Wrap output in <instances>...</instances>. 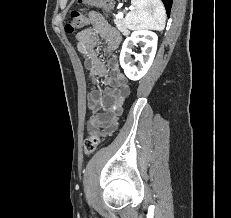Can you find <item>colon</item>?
Returning a JSON list of instances; mask_svg holds the SVG:
<instances>
[{
  "instance_id": "5ec220e1",
  "label": "colon",
  "mask_w": 231,
  "mask_h": 218,
  "mask_svg": "<svg viewBox=\"0 0 231 218\" xmlns=\"http://www.w3.org/2000/svg\"><path fill=\"white\" fill-rule=\"evenodd\" d=\"M80 4L101 7L105 10L110 9V0H78ZM86 23V18L80 11H72L69 15V22L65 26L67 33H72L75 30L83 27ZM100 143V138L97 134H91L84 143V152L86 155H91L95 152Z\"/></svg>"
}]
</instances>
